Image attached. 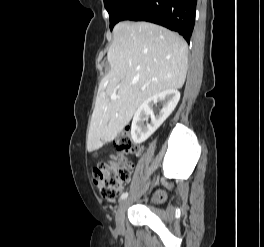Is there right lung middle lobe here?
Here are the masks:
<instances>
[{
	"label": "right lung middle lobe",
	"mask_w": 264,
	"mask_h": 247,
	"mask_svg": "<svg viewBox=\"0 0 264 247\" xmlns=\"http://www.w3.org/2000/svg\"><path fill=\"white\" fill-rule=\"evenodd\" d=\"M132 0H104V6L110 16V29L120 21V17Z\"/></svg>",
	"instance_id": "1"
}]
</instances>
